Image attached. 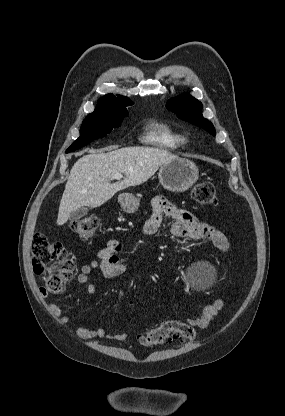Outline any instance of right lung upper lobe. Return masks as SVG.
I'll return each instance as SVG.
<instances>
[{"mask_svg":"<svg viewBox=\"0 0 285 416\" xmlns=\"http://www.w3.org/2000/svg\"><path fill=\"white\" fill-rule=\"evenodd\" d=\"M133 102L125 96H114L107 94L98 100L96 110H119L125 109L126 106L132 105Z\"/></svg>","mask_w":285,"mask_h":416,"instance_id":"right-lung-upper-lobe-1","label":"right lung upper lobe"}]
</instances>
